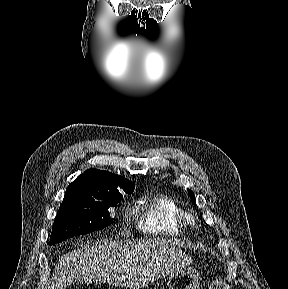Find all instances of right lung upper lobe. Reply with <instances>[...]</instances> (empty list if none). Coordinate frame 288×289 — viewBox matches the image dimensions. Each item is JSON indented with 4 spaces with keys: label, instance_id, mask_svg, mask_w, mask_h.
<instances>
[{
    "label": "right lung upper lobe",
    "instance_id": "cb5924a9",
    "mask_svg": "<svg viewBox=\"0 0 288 289\" xmlns=\"http://www.w3.org/2000/svg\"><path fill=\"white\" fill-rule=\"evenodd\" d=\"M134 190V184L108 171L99 169H88L78 176L66 190V194L97 195L106 191Z\"/></svg>",
    "mask_w": 288,
    "mask_h": 289
}]
</instances>
